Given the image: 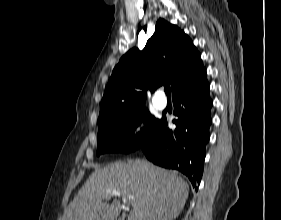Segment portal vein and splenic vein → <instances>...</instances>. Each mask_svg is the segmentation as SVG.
Segmentation results:
<instances>
[{"mask_svg":"<svg viewBox=\"0 0 281 220\" xmlns=\"http://www.w3.org/2000/svg\"><path fill=\"white\" fill-rule=\"evenodd\" d=\"M111 195L120 196L121 194H120L118 191H116V190L107 191V196H106V198H109ZM123 200H124V201H126V200L133 201V200H134V197H133V196H130V195H129V196H124Z\"/></svg>","mask_w":281,"mask_h":220,"instance_id":"obj_1","label":"portal vein and splenic vein"}]
</instances>
